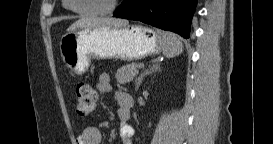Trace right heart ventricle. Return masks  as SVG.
I'll list each match as a JSON object with an SVG mask.
<instances>
[{"label":"right heart ventricle","instance_id":"obj_1","mask_svg":"<svg viewBox=\"0 0 273 144\" xmlns=\"http://www.w3.org/2000/svg\"><path fill=\"white\" fill-rule=\"evenodd\" d=\"M64 6H65V7H68V4H67V2H66V1L64 2Z\"/></svg>","mask_w":273,"mask_h":144}]
</instances>
